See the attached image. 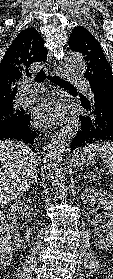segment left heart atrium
Returning <instances> with one entry per match:
<instances>
[{
    "mask_svg": "<svg viewBox=\"0 0 113 279\" xmlns=\"http://www.w3.org/2000/svg\"><path fill=\"white\" fill-rule=\"evenodd\" d=\"M65 113L62 102L55 98L44 99L36 108L35 118L42 125L57 122Z\"/></svg>",
    "mask_w": 113,
    "mask_h": 279,
    "instance_id": "1",
    "label": "left heart atrium"
}]
</instances>
